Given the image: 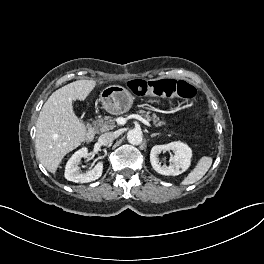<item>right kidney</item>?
<instances>
[{
	"instance_id": "right-kidney-1",
	"label": "right kidney",
	"mask_w": 264,
	"mask_h": 264,
	"mask_svg": "<svg viewBox=\"0 0 264 264\" xmlns=\"http://www.w3.org/2000/svg\"><path fill=\"white\" fill-rule=\"evenodd\" d=\"M88 157V149L81 148L76 151L71 158L68 160L64 176L68 181L75 183H87L99 179L103 172V163L98 162L92 170L86 171L85 173L80 172L79 163L82 158Z\"/></svg>"
}]
</instances>
